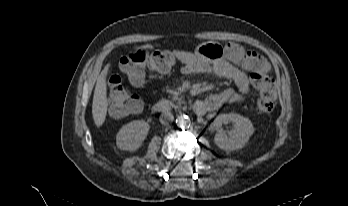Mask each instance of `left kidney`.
Listing matches in <instances>:
<instances>
[{
	"label": "left kidney",
	"instance_id": "5707ae66",
	"mask_svg": "<svg viewBox=\"0 0 348 206\" xmlns=\"http://www.w3.org/2000/svg\"><path fill=\"white\" fill-rule=\"evenodd\" d=\"M228 122L234 124L232 134L227 136L219 130L214 137L215 144L226 151L240 149L248 142L249 137L253 134V125L248 118L239 114L229 113L218 115L213 122V126L220 128Z\"/></svg>",
	"mask_w": 348,
	"mask_h": 206
}]
</instances>
